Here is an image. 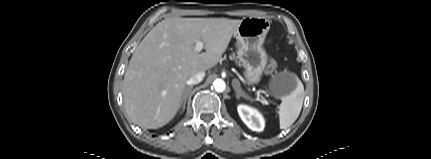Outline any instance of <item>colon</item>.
<instances>
[{"label":"colon","mask_w":431,"mask_h":159,"mask_svg":"<svg viewBox=\"0 0 431 159\" xmlns=\"http://www.w3.org/2000/svg\"><path fill=\"white\" fill-rule=\"evenodd\" d=\"M276 67V62L273 59H270L269 64L267 66L266 72L268 74L272 73Z\"/></svg>","instance_id":"colon-1"}]
</instances>
